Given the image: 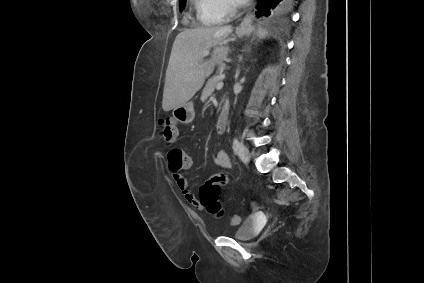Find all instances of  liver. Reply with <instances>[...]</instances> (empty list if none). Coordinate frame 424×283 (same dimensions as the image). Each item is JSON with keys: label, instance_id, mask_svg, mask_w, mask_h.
Masks as SVG:
<instances>
[{"label": "liver", "instance_id": "1", "mask_svg": "<svg viewBox=\"0 0 424 283\" xmlns=\"http://www.w3.org/2000/svg\"><path fill=\"white\" fill-rule=\"evenodd\" d=\"M231 33L232 26L228 25L185 29L176 36L166 70L164 111L186 104L201 89L205 79L226 59ZM211 48V58L204 61L203 52Z\"/></svg>", "mask_w": 424, "mask_h": 283}]
</instances>
